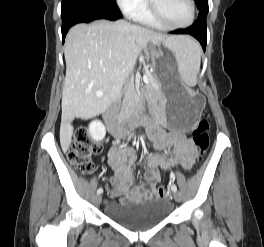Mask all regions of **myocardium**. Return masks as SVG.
Returning a JSON list of instances; mask_svg holds the SVG:
<instances>
[{
    "mask_svg": "<svg viewBox=\"0 0 264 247\" xmlns=\"http://www.w3.org/2000/svg\"><path fill=\"white\" fill-rule=\"evenodd\" d=\"M188 2L190 5V18L187 22L182 24H173L165 20L160 14L154 0H148V11L151 17L162 27L168 29H184L190 27L194 23L196 17V5L194 0H188Z\"/></svg>",
    "mask_w": 264,
    "mask_h": 247,
    "instance_id": "f54148a6",
    "label": "myocardium"
}]
</instances>
